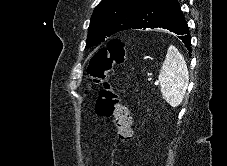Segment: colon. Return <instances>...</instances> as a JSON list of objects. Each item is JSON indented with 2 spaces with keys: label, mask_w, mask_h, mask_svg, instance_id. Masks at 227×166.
Masks as SVG:
<instances>
[{
  "label": "colon",
  "mask_w": 227,
  "mask_h": 166,
  "mask_svg": "<svg viewBox=\"0 0 227 166\" xmlns=\"http://www.w3.org/2000/svg\"><path fill=\"white\" fill-rule=\"evenodd\" d=\"M128 59L124 43L110 40L105 48L95 52L90 60L88 74L94 84H104L96 103L95 112L102 117L113 118L120 142H126L131 136L132 118L129 109L123 105L117 89L106 81L109 72L116 64Z\"/></svg>",
  "instance_id": "colon-1"
}]
</instances>
